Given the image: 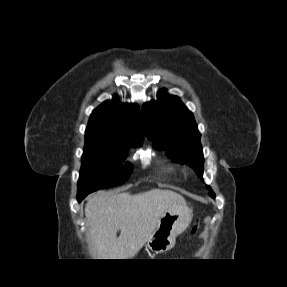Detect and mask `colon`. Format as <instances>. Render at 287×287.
<instances>
[{"label": "colon", "mask_w": 287, "mask_h": 287, "mask_svg": "<svg viewBox=\"0 0 287 287\" xmlns=\"http://www.w3.org/2000/svg\"><path fill=\"white\" fill-rule=\"evenodd\" d=\"M196 232H197V227H194L193 230H192V233L196 234Z\"/></svg>", "instance_id": "5ec220e1"}]
</instances>
